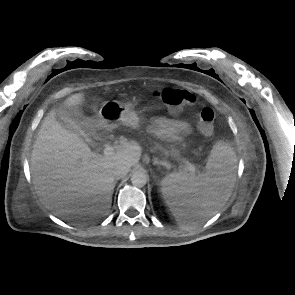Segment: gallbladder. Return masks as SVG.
Listing matches in <instances>:
<instances>
[{
    "label": "gallbladder",
    "mask_w": 295,
    "mask_h": 295,
    "mask_svg": "<svg viewBox=\"0 0 295 295\" xmlns=\"http://www.w3.org/2000/svg\"><path fill=\"white\" fill-rule=\"evenodd\" d=\"M56 121L66 130L78 133L77 124L83 122L82 116L74 109L60 106L55 109Z\"/></svg>",
    "instance_id": "bac80fb5"
}]
</instances>
